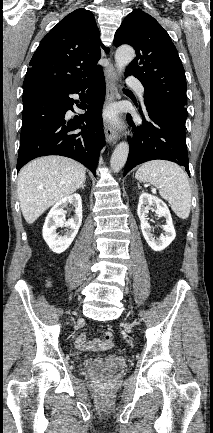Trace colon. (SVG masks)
<instances>
[{"mask_svg":"<svg viewBox=\"0 0 213 433\" xmlns=\"http://www.w3.org/2000/svg\"><path fill=\"white\" fill-rule=\"evenodd\" d=\"M113 338H114V336H113L112 332H110V331H107L103 334V340L108 344L112 343Z\"/></svg>","mask_w":213,"mask_h":433,"instance_id":"5ec220e1","label":"colon"}]
</instances>
